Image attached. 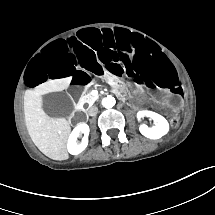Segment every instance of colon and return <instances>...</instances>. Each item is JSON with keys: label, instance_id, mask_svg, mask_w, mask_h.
Instances as JSON below:
<instances>
[{"label": "colon", "instance_id": "5ec220e1", "mask_svg": "<svg viewBox=\"0 0 215 215\" xmlns=\"http://www.w3.org/2000/svg\"><path fill=\"white\" fill-rule=\"evenodd\" d=\"M178 125H179L178 119L175 118V117H173V118L171 119V126H172L173 128H176V127H178Z\"/></svg>", "mask_w": 215, "mask_h": 215}]
</instances>
